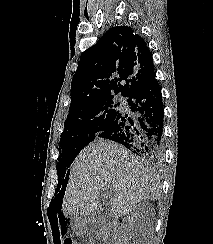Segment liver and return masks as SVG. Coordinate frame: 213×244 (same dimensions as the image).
<instances>
[{
    "instance_id": "liver-1",
    "label": "liver",
    "mask_w": 213,
    "mask_h": 244,
    "mask_svg": "<svg viewBox=\"0 0 213 244\" xmlns=\"http://www.w3.org/2000/svg\"><path fill=\"white\" fill-rule=\"evenodd\" d=\"M111 193V216L128 214L142 200L159 199L155 171L133 153L110 141L89 144L75 159L62 203L64 216L87 217L99 206L101 191Z\"/></svg>"
}]
</instances>
